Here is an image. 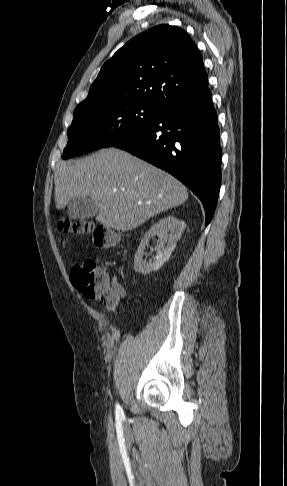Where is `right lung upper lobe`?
I'll return each mask as SVG.
<instances>
[{"mask_svg": "<svg viewBox=\"0 0 287 486\" xmlns=\"http://www.w3.org/2000/svg\"><path fill=\"white\" fill-rule=\"evenodd\" d=\"M208 86L202 55L183 29L159 25L120 48L75 111L109 101L167 102Z\"/></svg>", "mask_w": 287, "mask_h": 486, "instance_id": "cb5924a9", "label": "right lung upper lobe"}]
</instances>
